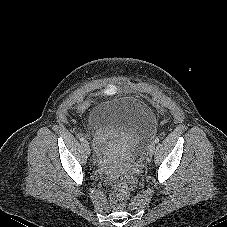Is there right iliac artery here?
<instances>
[{
  "mask_svg": "<svg viewBox=\"0 0 227 227\" xmlns=\"http://www.w3.org/2000/svg\"><path fill=\"white\" fill-rule=\"evenodd\" d=\"M80 141H81V142H84V141H85V139H84L83 137H81V138H80Z\"/></svg>",
  "mask_w": 227,
  "mask_h": 227,
  "instance_id": "82829eb1",
  "label": "right iliac artery"
}]
</instances>
